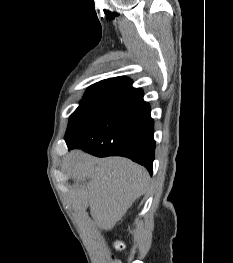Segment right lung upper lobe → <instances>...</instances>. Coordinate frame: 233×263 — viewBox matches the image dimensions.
<instances>
[{"mask_svg": "<svg viewBox=\"0 0 233 263\" xmlns=\"http://www.w3.org/2000/svg\"><path fill=\"white\" fill-rule=\"evenodd\" d=\"M134 89L132 81L126 77L102 80L90 86L85 95H109L119 97Z\"/></svg>", "mask_w": 233, "mask_h": 263, "instance_id": "obj_1", "label": "right lung upper lobe"}]
</instances>
